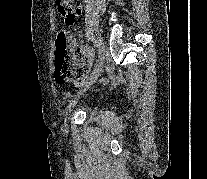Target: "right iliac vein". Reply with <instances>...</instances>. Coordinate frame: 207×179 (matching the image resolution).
I'll return each mask as SVG.
<instances>
[{
    "label": "right iliac vein",
    "instance_id": "right-iliac-vein-1",
    "mask_svg": "<svg viewBox=\"0 0 207 179\" xmlns=\"http://www.w3.org/2000/svg\"><path fill=\"white\" fill-rule=\"evenodd\" d=\"M97 41L99 42L100 46H99V60L97 63L96 68L94 69L92 75L88 78V81L81 87L80 91L78 92L77 96L75 98H73L69 105L67 106L66 110H65V120L68 119V116L70 114V112L72 111L73 107L77 104L80 96L86 92L96 81L97 79L100 77L102 71H103V67H104V45L103 42L101 40V37L99 36Z\"/></svg>",
    "mask_w": 207,
    "mask_h": 179
}]
</instances>
